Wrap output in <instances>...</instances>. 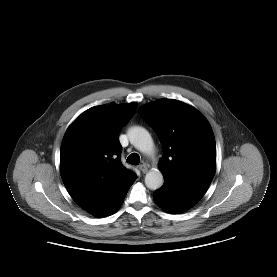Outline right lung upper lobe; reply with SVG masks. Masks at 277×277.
<instances>
[{"label": "right lung upper lobe", "mask_w": 277, "mask_h": 277, "mask_svg": "<svg viewBox=\"0 0 277 277\" xmlns=\"http://www.w3.org/2000/svg\"><path fill=\"white\" fill-rule=\"evenodd\" d=\"M136 109V103L92 107L64 135L61 177L71 197L86 211L101 206L136 176L121 164L118 137Z\"/></svg>", "instance_id": "cb5924a9"}]
</instances>
